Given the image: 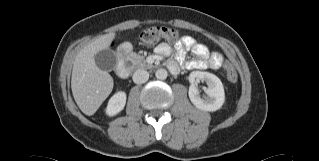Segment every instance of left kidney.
Masks as SVG:
<instances>
[{
	"label": "left kidney",
	"mask_w": 319,
	"mask_h": 161,
	"mask_svg": "<svg viewBox=\"0 0 319 161\" xmlns=\"http://www.w3.org/2000/svg\"><path fill=\"white\" fill-rule=\"evenodd\" d=\"M191 83L189 87V98L193 105L204 111H216L222 107L225 101V92L221 80L209 72L193 71L189 75ZM199 81H205L207 88L204 89L207 96L201 97L197 88Z\"/></svg>",
	"instance_id": "1"
}]
</instances>
